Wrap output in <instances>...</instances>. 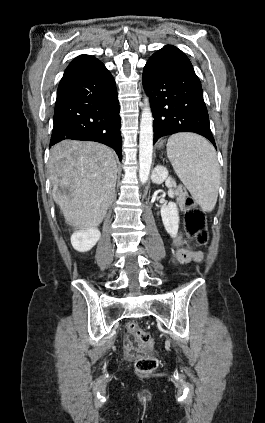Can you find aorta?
<instances>
[{
    "label": "aorta",
    "instance_id": "1",
    "mask_svg": "<svg viewBox=\"0 0 265 423\" xmlns=\"http://www.w3.org/2000/svg\"><path fill=\"white\" fill-rule=\"evenodd\" d=\"M153 153V116L149 98H144L139 136V179L145 184L149 178Z\"/></svg>",
    "mask_w": 265,
    "mask_h": 423
}]
</instances>
